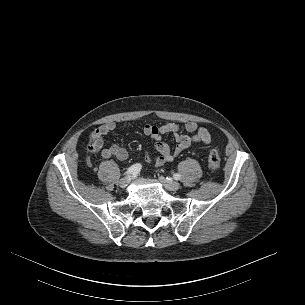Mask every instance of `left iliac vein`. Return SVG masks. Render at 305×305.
Returning a JSON list of instances; mask_svg holds the SVG:
<instances>
[{
	"label": "left iliac vein",
	"mask_w": 305,
	"mask_h": 305,
	"mask_svg": "<svg viewBox=\"0 0 305 305\" xmlns=\"http://www.w3.org/2000/svg\"><path fill=\"white\" fill-rule=\"evenodd\" d=\"M159 181L162 183V185L170 191H177L180 188V183L177 181H173L170 179H167L163 176L159 177Z\"/></svg>",
	"instance_id": "obj_1"
}]
</instances>
